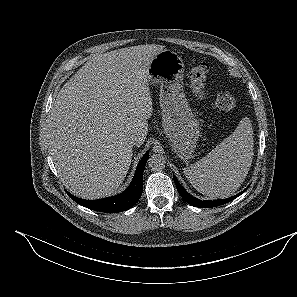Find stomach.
Masks as SVG:
<instances>
[{"label": "stomach", "mask_w": 297, "mask_h": 297, "mask_svg": "<svg viewBox=\"0 0 297 297\" xmlns=\"http://www.w3.org/2000/svg\"><path fill=\"white\" fill-rule=\"evenodd\" d=\"M184 63L174 51L163 49L150 62L147 72L151 85H160L162 126L173 151L188 160L200 136L199 121L183 90Z\"/></svg>", "instance_id": "0dacf381"}]
</instances>
